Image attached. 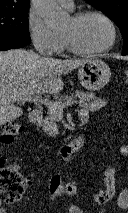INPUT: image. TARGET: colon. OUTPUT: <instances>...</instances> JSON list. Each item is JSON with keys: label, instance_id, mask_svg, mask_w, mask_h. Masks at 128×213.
<instances>
[{"label": "colon", "instance_id": "obj_1", "mask_svg": "<svg viewBox=\"0 0 128 213\" xmlns=\"http://www.w3.org/2000/svg\"><path fill=\"white\" fill-rule=\"evenodd\" d=\"M125 83L128 84V70L124 73ZM128 109V101L125 103ZM24 126L17 122L5 124L0 131V142L4 144L11 143L14 138L22 133ZM27 178L24 177L17 168L6 163L0 156V203L12 204L17 202L24 193ZM116 170L108 167L103 174V187L95 195V201L99 205L109 203L116 195ZM65 193L68 196H74L77 193V186L74 182L65 185ZM120 207L128 208V188L123 189L118 197Z\"/></svg>", "mask_w": 128, "mask_h": 213}]
</instances>
